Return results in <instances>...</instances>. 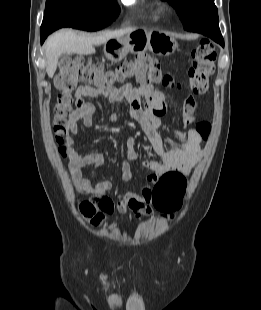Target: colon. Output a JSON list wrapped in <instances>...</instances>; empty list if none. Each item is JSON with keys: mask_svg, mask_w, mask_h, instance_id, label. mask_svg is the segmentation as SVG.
Masks as SVG:
<instances>
[{"mask_svg": "<svg viewBox=\"0 0 261 310\" xmlns=\"http://www.w3.org/2000/svg\"><path fill=\"white\" fill-rule=\"evenodd\" d=\"M215 60L216 51L208 41L202 40L193 49L188 70V85L195 94H202L207 90ZM128 78H134L141 84L161 82L166 87L178 86L171 74L162 73L159 61L149 55L138 56L114 69L105 68L81 56L62 59L55 77V85L60 90L54 106V132L58 144H63L66 125L72 111L71 90L79 82L103 88ZM196 130L206 139L211 132V125L207 121L199 122ZM60 152L66 155V148L61 147ZM186 187L187 181L182 173H165L152 191L153 205L167 213L179 210L183 204ZM113 209L112 200L105 195L96 194L80 203L81 214L94 225L100 224L105 215L111 214Z\"/></svg>", "mask_w": 261, "mask_h": 310, "instance_id": "5ec220e1", "label": "colon"}]
</instances>
